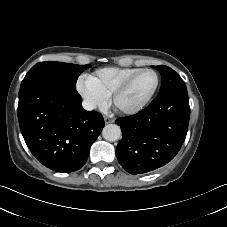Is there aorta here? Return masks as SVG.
Listing matches in <instances>:
<instances>
[{"label": "aorta", "instance_id": "obj_1", "mask_svg": "<svg viewBox=\"0 0 227 227\" xmlns=\"http://www.w3.org/2000/svg\"><path fill=\"white\" fill-rule=\"evenodd\" d=\"M102 136L107 141H117L121 136V129L116 124H108L103 128Z\"/></svg>", "mask_w": 227, "mask_h": 227}]
</instances>
